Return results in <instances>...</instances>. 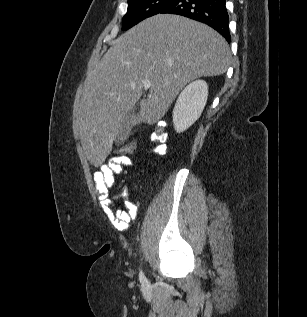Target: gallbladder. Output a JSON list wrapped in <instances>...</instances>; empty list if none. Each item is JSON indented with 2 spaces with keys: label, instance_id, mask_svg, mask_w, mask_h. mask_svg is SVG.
I'll return each mask as SVG.
<instances>
[{
  "label": "gallbladder",
  "instance_id": "obj_1",
  "mask_svg": "<svg viewBox=\"0 0 307 317\" xmlns=\"http://www.w3.org/2000/svg\"><path fill=\"white\" fill-rule=\"evenodd\" d=\"M138 123L139 121H137L136 108H133L124 114L119 124L115 142L117 144H122L129 136L132 128Z\"/></svg>",
  "mask_w": 307,
  "mask_h": 317
}]
</instances>
